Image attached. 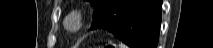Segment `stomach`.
Segmentation results:
<instances>
[{
  "label": "stomach",
  "instance_id": "0dacf381",
  "mask_svg": "<svg viewBox=\"0 0 213 48\" xmlns=\"http://www.w3.org/2000/svg\"><path fill=\"white\" fill-rule=\"evenodd\" d=\"M105 46H101V47H99V48H104Z\"/></svg>",
  "mask_w": 213,
  "mask_h": 48
}]
</instances>
